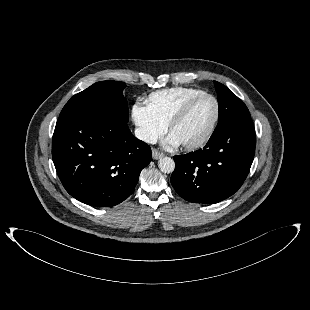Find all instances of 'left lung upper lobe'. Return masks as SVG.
Listing matches in <instances>:
<instances>
[{
    "label": "left lung upper lobe",
    "mask_w": 310,
    "mask_h": 310,
    "mask_svg": "<svg viewBox=\"0 0 310 310\" xmlns=\"http://www.w3.org/2000/svg\"><path fill=\"white\" fill-rule=\"evenodd\" d=\"M218 95L219 120L214 134L250 117V113L244 102L223 84L214 81Z\"/></svg>",
    "instance_id": "5c2ea615"
}]
</instances>
